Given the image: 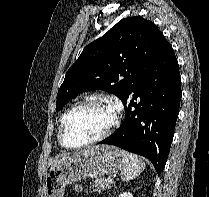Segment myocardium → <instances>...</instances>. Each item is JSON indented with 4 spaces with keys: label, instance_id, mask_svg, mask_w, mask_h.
I'll use <instances>...</instances> for the list:
<instances>
[{
    "label": "myocardium",
    "instance_id": "1",
    "mask_svg": "<svg viewBox=\"0 0 209 197\" xmlns=\"http://www.w3.org/2000/svg\"><path fill=\"white\" fill-rule=\"evenodd\" d=\"M89 103H102V104H105L108 107H110L113 112L112 121L109 124V126L98 136H96L88 141H85L81 144L70 145L66 142L65 137H64V129H65L66 121L73 112H75L80 107H82L86 104H89ZM120 112H121L120 105L117 102H115L114 100L107 98L105 96L92 95V96H88V97L83 98L82 100H80L76 104H74L70 109H68L63 114L61 121H60L59 132H58V139H59L60 144L63 147L68 148V149H80V148H84V147L96 144V143L106 139L119 125Z\"/></svg>",
    "mask_w": 209,
    "mask_h": 197
}]
</instances>
